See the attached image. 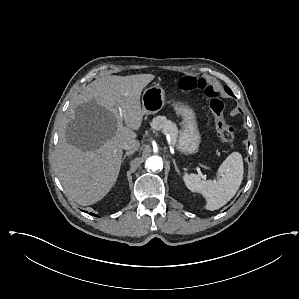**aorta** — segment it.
Returning a JSON list of instances; mask_svg holds the SVG:
<instances>
[{
    "label": "aorta",
    "mask_w": 299,
    "mask_h": 299,
    "mask_svg": "<svg viewBox=\"0 0 299 299\" xmlns=\"http://www.w3.org/2000/svg\"><path fill=\"white\" fill-rule=\"evenodd\" d=\"M146 168L156 171L163 169V161L162 158L159 156H151L145 162Z\"/></svg>",
    "instance_id": "762f6f07"
}]
</instances>
